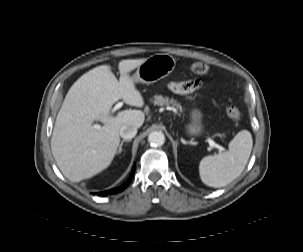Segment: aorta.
Here are the masks:
<instances>
[{"label":"aorta","mask_w":303,"mask_h":252,"mask_svg":"<svg viewBox=\"0 0 303 252\" xmlns=\"http://www.w3.org/2000/svg\"><path fill=\"white\" fill-rule=\"evenodd\" d=\"M148 142L152 146H162L165 142V136L161 131H153L148 136Z\"/></svg>","instance_id":"762f6f07"}]
</instances>
